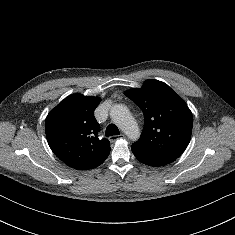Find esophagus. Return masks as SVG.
<instances>
[{"mask_svg": "<svg viewBox=\"0 0 235 235\" xmlns=\"http://www.w3.org/2000/svg\"><path fill=\"white\" fill-rule=\"evenodd\" d=\"M121 138H125V135L124 134H120V135H114V136H111L109 137V140L110 142H115L117 141L118 139H121Z\"/></svg>", "mask_w": 235, "mask_h": 235, "instance_id": "34e87169", "label": "esophagus"}]
</instances>
